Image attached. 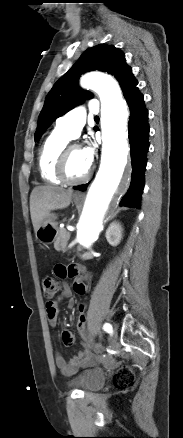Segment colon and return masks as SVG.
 <instances>
[{"instance_id":"obj_1","label":"colon","mask_w":183,"mask_h":438,"mask_svg":"<svg viewBox=\"0 0 183 438\" xmlns=\"http://www.w3.org/2000/svg\"><path fill=\"white\" fill-rule=\"evenodd\" d=\"M42 288L44 297L47 300H52L58 291L60 290L59 282L51 277L46 276L42 279ZM87 325V306L86 304H80L79 306V316L77 320V329L81 337L89 342L88 335L86 332ZM94 350L100 352L102 350L100 345H94ZM135 383V375L133 370L129 366L120 367L113 376V384L117 389L126 390L132 387Z\"/></svg>"}]
</instances>
